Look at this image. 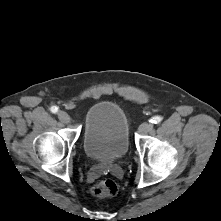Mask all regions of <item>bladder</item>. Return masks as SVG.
<instances>
[{"mask_svg":"<svg viewBox=\"0 0 221 221\" xmlns=\"http://www.w3.org/2000/svg\"><path fill=\"white\" fill-rule=\"evenodd\" d=\"M129 135L128 118L116 103L101 101L87 110L83 146L89 158L100 162L121 158L128 151Z\"/></svg>","mask_w":221,"mask_h":221,"instance_id":"31cf9c89","label":"bladder"}]
</instances>
